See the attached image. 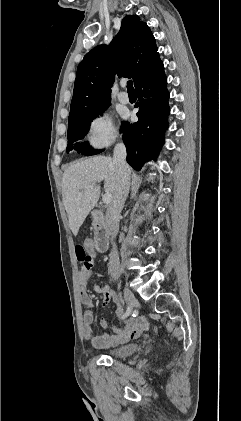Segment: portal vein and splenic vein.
Returning a JSON list of instances; mask_svg holds the SVG:
<instances>
[{"mask_svg": "<svg viewBox=\"0 0 241 421\" xmlns=\"http://www.w3.org/2000/svg\"><path fill=\"white\" fill-rule=\"evenodd\" d=\"M111 200H112V195L109 194V193H106L102 198V201H103L104 204H109L111 202Z\"/></svg>", "mask_w": 241, "mask_h": 421, "instance_id": "portal-vein-and-splenic-vein-1", "label": "portal vein and splenic vein"}]
</instances>
